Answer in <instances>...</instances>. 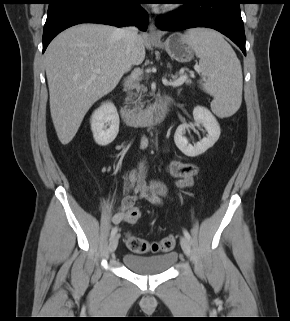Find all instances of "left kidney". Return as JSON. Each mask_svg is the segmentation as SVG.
Instances as JSON below:
<instances>
[{
	"label": "left kidney",
	"instance_id": "obj_1",
	"mask_svg": "<svg viewBox=\"0 0 290 321\" xmlns=\"http://www.w3.org/2000/svg\"><path fill=\"white\" fill-rule=\"evenodd\" d=\"M193 117L195 120L193 124H182L180 125L174 135V141L176 146L187 156L195 157L204 153L207 149L212 147L215 142L219 139L221 130L220 126L214 117V115L205 107L197 106L193 110ZM202 125L205 127L208 135L202 140L192 145L188 142L184 136L185 130L193 127Z\"/></svg>",
	"mask_w": 290,
	"mask_h": 321
}]
</instances>
